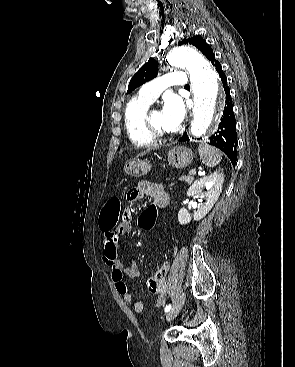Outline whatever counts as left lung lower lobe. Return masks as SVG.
Returning <instances> with one entry per match:
<instances>
[{
    "instance_id": "0a47b994",
    "label": "left lung lower lobe",
    "mask_w": 295,
    "mask_h": 367,
    "mask_svg": "<svg viewBox=\"0 0 295 367\" xmlns=\"http://www.w3.org/2000/svg\"><path fill=\"white\" fill-rule=\"evenodd\" d=\"M218 72L224 86L227 85L226 75L222 70L221 64L213 59L210 61ZM225 108L223 116L219 124L218 130L208 137L209 144L213 145L222 150L231 160L232 164L235 165L237 160V134H236V123L233 113V103L230 96V88L225 87ZM189 138L185 132L179 141H188Z\"/></svg>"
}]
</instances>
